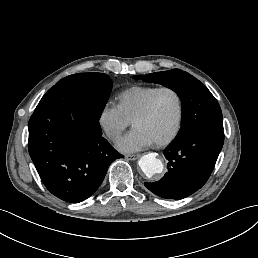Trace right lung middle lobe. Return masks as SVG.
I'll return each mask as SVG.
<instances>
[{
    "label": "right lung middle lobe",
    "mask_w": 258,
    "mask_h": 258,
    "mask_svg": "<svg viewBox=\"0 0 258 258\" xmlns=\"http://www.w3.org/2000/svg\"><path fill=\"white\" fill-rule=\"evenodd\" d=\"M62 84H75L90 89L88 95L89 110L93 116L100 119L112 89L109 76L104 73L73 74L61 79L54 86Z\"/></svg>",
    "instance_id": "1"
}]
</instances>
